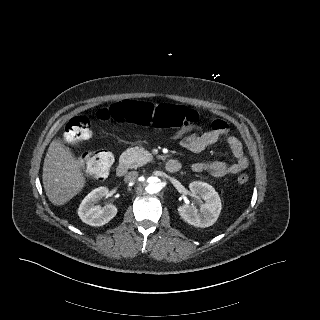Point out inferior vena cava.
<instances>
[{"label":"inferior vena cava","mask_w":320,"mask_h":320,"mask_svg":"<svg viewBox=\"0 0 320 320\" xmlns=\"http://www.w3.org/2000/svg\"><path fill=\"white\" fill-rule=\"evenodd\" d=\"M137 177H138V172L137 171H131V172L127 173V175L124 178V181L125 182H132L135 179H137Z\"/></svg>","instance_id":"obj_1"}]
</instances>
